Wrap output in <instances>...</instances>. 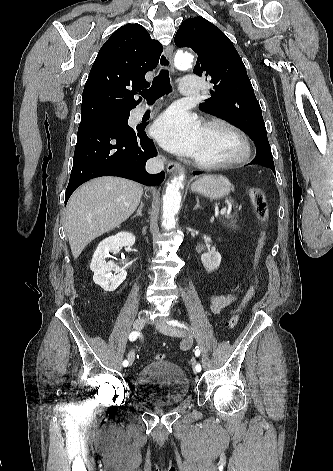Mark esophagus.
Segmentation results:
<instances>
[{
  "label": "esophagus",
  "instance_id": "34e87169",
  "mask_svg": "<svg viewBox=\"0 0 333 471\" xmlns=\"http://www.w3.org/2000/svg\"><path fill=\"white\" fill-rule=\"evenodd\" d=\"M173 46H168L161 54L159 59V65L162 69H169L172 73L174 72V66L172 61ZM167 171L169 173L181 171L183 168L178 162L169 161L167 163Z\"/></svg>",
  "mask_w": 333,
  "mask_h": 471
}]
</instances>
